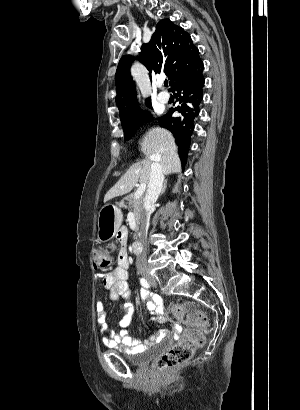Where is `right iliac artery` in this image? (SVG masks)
<instances>
[{"label":"right iliac artery","instance_id":"82829eb1","mask_svg":"<svg viewBox=\"0 0 300 410\" xmlns=\"http://www.w3.org/2000/svg\"><path fill=\"white\" fill-rule=\"evenodd\" d=\"M140 283H141V285H142L144 288H149V287H150L149 283H148L147 280L144 279V278H141V279H140Z\"/></svg>","mask_w":300,"mask_h":410}]
</instances>
